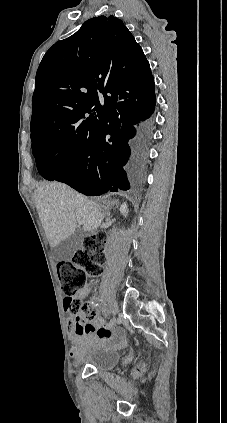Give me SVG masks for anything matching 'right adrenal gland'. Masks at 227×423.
<instances>
[{
    "mask_svg": "<svg viewBox=\"0 0 227 423\" xmlns=\"http://www.w3.org/2000/svg\"><path fill=\"white\" fill-rule=\"evenodd\" d=\"M105 206H107V204H105ZM111 206H116V208H118L119 206L118 200H115V202H111Z\"/></svg>",
    "mask_w": 227,
    "mask_h": 423,
    "instance_id": "1",
    "label": "right adrenal gland"
}]
</instances>
